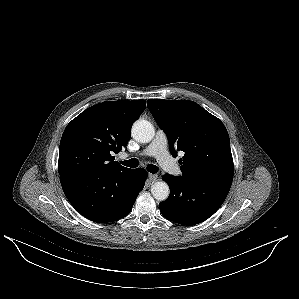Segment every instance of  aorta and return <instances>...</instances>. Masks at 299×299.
Here are the masks:
<instances>
[{"label": "aorta", "mask_w": 299, "mask_h": 299, "mask_svg": "<svg viewBox=\"0 0 299 299\" xmlns=\"http://www.w3.org/2000/svg\"><path fill=\"white\" fill-rule=\"evenodd\" d=\"M155 135L153 125L144 119H139L132 126V137L141 143L150 142ZM151 193L158 201H165L170 194L169 186L164 181H156L151 186Z\"/></svg>", "instance_id": "1"}]
</instances>
